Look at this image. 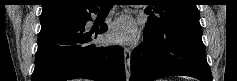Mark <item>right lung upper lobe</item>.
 <instances>
[{
    "label": "right lung upper lobe",
    "mask_w": 237,
    "mask_h": 81,
    "mask_svg": "<svg viewBox=\"0 0 237 81\" xmlns=\"http://www.w3.org/2000/svg\"><path fill=\"white\" fill-rule=\"evenodd\" d=\"M42 8L41 23L81 17L98 10L92 0H43Z\"/></svg>",
    "instance_id": "1"
}]
</instances>
